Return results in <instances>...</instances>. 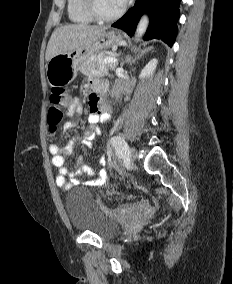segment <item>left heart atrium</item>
<instances>
[{"instance_id":"39dd6f15","label":"left heart atrium","mask_w":233,"mask_h":284,"mask_svg":"<svg viewBox=\"0 0 233 284\" xmlns=\"http://www.w3.org/2000/svg\"><path fill=\"white\" fill-rule=\"evenodd\" d=\"M117 1L121 6H123L127 3L128 0H117Z\"/></svg>"}]
</instances>
